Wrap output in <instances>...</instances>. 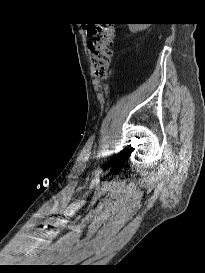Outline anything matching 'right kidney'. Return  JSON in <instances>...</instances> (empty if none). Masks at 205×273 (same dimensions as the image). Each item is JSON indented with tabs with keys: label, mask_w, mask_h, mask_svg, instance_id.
Instances as JSON below:
<instances>
[{
	"label": "right kidney",
	"mask_w": 205,
	"mask_h": 273,
	"mask_svg": "<svg viewBox=\"0 0 205 273\" xmlns=\"http://www.w3.org/2000/svg\"><path fill=\"white\" fill-rule=\"evenodd\" d=\"M130 30H131V31H137V30H140V29L134 28V27H130Z\"/></svg>",
	"instance_id": "ca27d5eb"
}]
</instances>
